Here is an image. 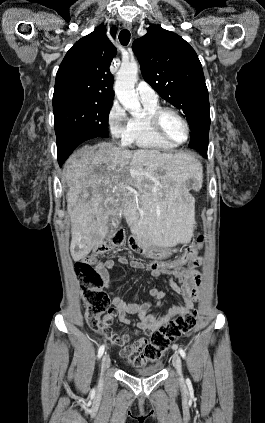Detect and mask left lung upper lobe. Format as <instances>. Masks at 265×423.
Instances as JSON below:
<instances>
[{"label": "left lung upper lobe", "instance_id": "obj_1", "mask_svg": "<svg viewBox=\"0 0 265 423\" xmlns=\"http://www.w3.org/2000/svg\"><path fill=\"white\" fill-rule=\"evenodd\" d=\"M132 49L147 83L182 110L190 124L189 147L205 153L210 128L208 90L194 49L179 35L151 25Z\"/></svg>", "mask_w": 265, "mask_h": 423}]
</instances>
